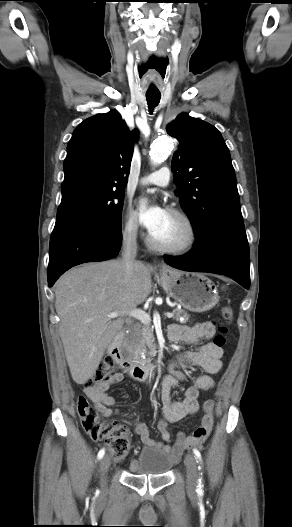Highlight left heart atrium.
Returning <instances> with one entry per match:
<instances>
[{"instance_id":"1","label":"left heart atrium","mask_w":292,"mask_h":527,"mask_svg":"<svg viewBox=\"0 0 292 527\" xmlns=\"http://www.w3.org/2000/svg\"><path fill=\"white\" fill-rule=\"evenodd\" d=\"M166 211L158 205H143L139 210L141 225L151 234L155 232L166 216Z\"/></svg>"}]
</instances>
